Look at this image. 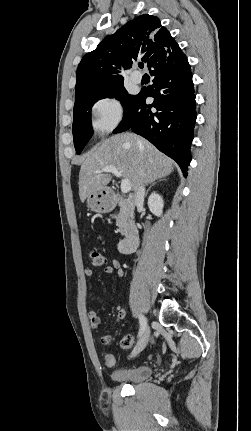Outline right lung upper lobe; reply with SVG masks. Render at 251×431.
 Returning a JSON list of instances; mask_svg holds the SVG:
<instances>
[{
  "label": "right lung upper lobe",
  "mask_w": 251,
  "mask_h": 431,
  "mask_svg": "<svg viewBox=\"0 0 251 431\" xmlns=\"http://www.w3.org/2000/svg\"><path fill=\"white\" fill-rule=\"evenodd\" d=\"M177 46L158 17L138 16L82 58L77 69L75 96L123 81L121 68H131L137 58H142L150 68L174 52Z\"/></svg>",
  "instance_id": "obj_1"
}]
</instances>
